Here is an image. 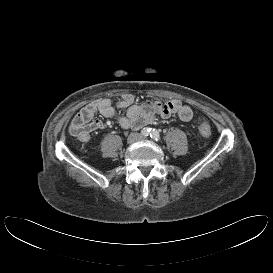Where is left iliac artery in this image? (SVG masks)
<instances>
[{
	"instance_id": "left-iliac-artery-1",
	"label": "left iliac artery",
	"mask_w": 273,
	"mask_h": 273,
	"mask_svg": "<svg viewBox=\"0 0 273 273\" xmlns=\"http://www.w3.org/2000/svg\"><path fill=\"white\" fill-rule=\"evenodd\" d=\"M150 137L156 141L160 140V134L156 129H152L151 133H150Z\"/></svg>"
}]
</instances>
